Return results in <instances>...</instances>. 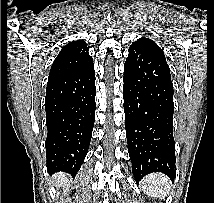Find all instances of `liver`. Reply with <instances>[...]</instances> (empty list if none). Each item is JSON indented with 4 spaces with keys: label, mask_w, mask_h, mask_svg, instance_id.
<instances>
[{
    "label": "liver",
    "mask_w": 214,
    "mask_h": 203,
    "mask_svg": "<svg viewBox=\"0 0 214 203\" xmlns=\"http://www.w3.org/2000/svg\"><path fill=\"white\" fill-rule=\"evenodd\" d=\"M54 178L56 180L57 187L66 186L68 183V177L65 173L56 174Z\"/></svg>",
    "instance_id": "6515ba94"
}]
</instances>
